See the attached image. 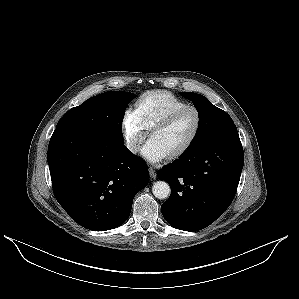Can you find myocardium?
<instances>
[{"label":"myocardium","mask_w":299,"mask_h":299,"mask_svg":"<svg viewBox=\"0 0 299 299\" xmlns=\"http://www.w3.org/2000/svg\"><path fill=\"white\" fill-rule=\"evenodd\" d=\"M187 111H193L196 115V125L194 128V131H193L191 137L187 140V142L181 148H179L175 152L168 155V157L170 159H177V158L183 156L191 149V147L196 142V140L199 136V133L201 131L202 121H203L202 114H201L200 110L195 106H190V105L185 106L183 108H180V109L172 112L171 114H169L162 120L155 123L150 128L149 135L151 136L155 131L165 129V128L169 127L170 125H172L181 115H183Z\"/></svg>","instance_id":"f54148a6"}]
</instances>
